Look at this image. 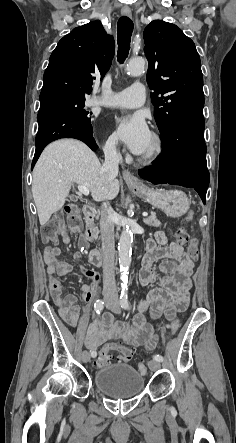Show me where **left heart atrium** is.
Segmentation results:
<instances>
[{
	"label": "left heart atrium",
	"instance_id": "1",
	"mask_svg": "<svg viewBox=\"0 0 236 443\" xmlns=\"http://www.w3.org/2000/svg\"><path fill=\"white\" fill-rule=\"evenodd\" d=\"M119 139L135 154H141L151 137L142 113L116 117L113 121Z\"/></svg>",
	"mask_w": 236,
	"mask_h": 443
}]
</instances>
